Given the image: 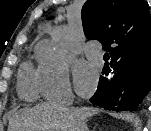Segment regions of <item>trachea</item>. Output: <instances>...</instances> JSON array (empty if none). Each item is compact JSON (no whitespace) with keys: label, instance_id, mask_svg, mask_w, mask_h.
Instances as JSON below:
<instances>
[{"label":"trachea","instance_id":"trachea-1","mask_svg":"<svg viewBox=\"0 0 151 131\" xmlns=\"http://www.w3.org/2000/svg\"><path fill=\"white\" fill-rule=\"evenodd\" d=\"M103 58H104V60H105V61H108V60H109V58H110V56H109V54H108V53H105Z\"/></svg>","mask_w":151,"mask_h":131}]
</instances>
